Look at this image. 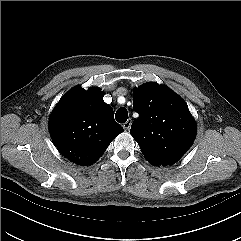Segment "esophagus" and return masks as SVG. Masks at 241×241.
Segmentation results:
<instances>
[{
    "instance_id": "obj_1",
    "label": "esophagus",
    "mask_w": 241,
    "mask_h": 241,
    "mask_svg": "<svg viewBox=\"0 0 241 241\" xmlns=\"http://www.w3.org/2000/svg\"><path fill=\"white\" fill-rule=\"evenodd\" d=\"M131 124H132V120L131 119H128L125 123H123V128L125 130H129L130 127H131Z\"/></svg>"
}]
</instances>
